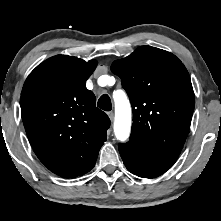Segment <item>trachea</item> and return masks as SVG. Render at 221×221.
Returning <instances> with one entry per match:
<instances>
[{
	"label": "trachea",
	"instance_id": "trachea-1",
	"mask_svg": "<svg viewBox=\"0 0 221 221\" xmlns=\"http://www.w3.org/2000/svg\"><path fill=\"white\" fill-rule=\"evenodd\" d=\"M97 106L104 111H110L112 104L109 96L106 94L102 95L98 100Z\"/></svg>",
	"mask_w": 221,
	"mask_h": 221
}]
</instances>
